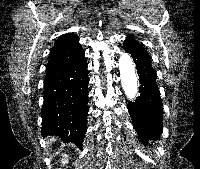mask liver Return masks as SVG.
<instances>
[{
  "label": "liver",
  "mask_w": 200,
  "mask_h": 169,
  "mask_svg": "<svg viewBox=\"0 0 200 169\" xmlns=\"http://www.w3.org/2000/svg\"><path fill=\"white\" fill-rule=\"evenodd\" d=\"M53 140H54V138H50V139H49V141H53Z\"/></svg>",
  "instance_id": "6515ba94"
}]
</instances>
